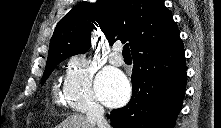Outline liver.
<instances>
[{
	"mask_svg": "<svg viewBox=\"0 0 221 128\" xmlns=\"http://www.w3.org/2000/svg\"><path fill=\"white\" fill-rule=\"evenodd\" d=\"M56 128H95V124L90 122L83 114H73L68 116Z\"/></svg>",
	"mask_w": 221,
	"mask_h": 128,
	"instance_id": "obj_1",
	"label": "liver"
}]
</instances>
